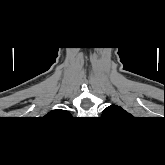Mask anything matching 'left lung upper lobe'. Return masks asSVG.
<instances>
[{
    "label": "left lung upper lobe",
    "instance_id": "1",
    "mask_svg": "<svg viewBox=\"0 0 165 165\" xmlns=\"http://www.w3.org/2000/svg\"><path fill=\"white\" fill-rule=\"evenodd\" d=\"M126 114H128L125 110H123L121 107L117 106V105H111L108 108L104 109L103 111V116H125Z\"/></svg>",
    "mask_w": 165,
    "mask_h": 165
}]
</instances>
